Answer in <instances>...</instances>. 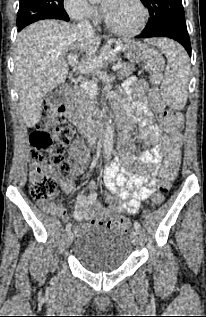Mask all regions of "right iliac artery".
<instances>
[{
    "label": "right iliac artery",
    "mask_w": 206,
    "mask_h": 317,
    "mask_svg": "<svg viewBox=\"0 0 206 317\" xmlns=\"http://www.w3.org/2000/svg\"><path fill=\"white\" fill-rule=\"evenodd\" d=\"M71 227H72V224H71V223H68V224L66 225V231H70Z\"/></svg>",
    "instance_id": "1"
}]
</instances>
